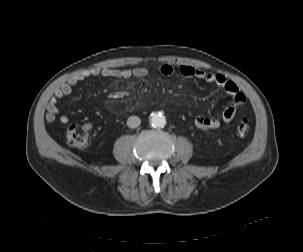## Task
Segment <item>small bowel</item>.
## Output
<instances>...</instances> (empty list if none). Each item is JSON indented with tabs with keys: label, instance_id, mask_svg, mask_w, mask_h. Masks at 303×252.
Here are the masks:
<instances>
[{
	"label": "small bowel",
	"instance_id": "1",
	"mask_svg": "<svg viewBox=\"0 0 303 252\" xmlns=\"http://www.w3.org/2000/svg\"><path fill=\"white\" fill-rule=\"evenodd\" d=\"M179 73L186 78L202 80L208 83H213L220 87L226 94L232 98L231 104L225 108L220 117L212 118L202 114L196 115L194 124L201 129H215L223 124L229 123L235 116L237 110L246 102L245 94L239 87L226 76L215 74L197 69L191 66L181 65L178 69ZM159 72L165 77L172 76L175 68L170 63H163L159 67ZM148 75V69L145 67H134L130 69H113L94 67L82 70L78 74L72 76L69 80L58 86L47 105L45 119L48 123L54 122L57 118L60 123L66 125L70 122V117L67 114H61L58 106L59 100L70 95L73 87L78 83L92 77L103 78H143Z\"/></svg>",
	"mask_w": 303,
	"mask_h": 252
}]
</instances>
